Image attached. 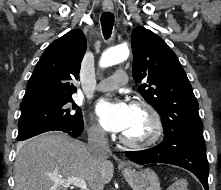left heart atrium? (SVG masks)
<instances>
[{
    "instance_id": "left-heart-atrium-1",
    "label": "left heart atrium",
    "mask_w": 221,
    "mask_h": 190,
    "mask_svg": "<svg viewBox=\"0 0 221 190\" xmlns=\"http://www.w3.org/2000/svg\"><path fill=\"white\" fill-rule=\"evenodd\" d=\"M95 113L104 129L123 133L131 122L132 105L122 99L103 98L96 104Z\"/></svg>"
}]
</instances>
